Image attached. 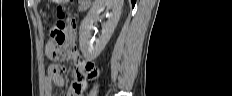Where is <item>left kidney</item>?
<instances>
[{"label": "left kidney", "mask_w": 232, "mask_h": 96, "mask_svg": "<svg viewBox=\"0 0 232 96\" xmlns=\"http://www.w3.org/2000/svg\"><path fill=\"white\" fill-rule=\"evenodd\" d=\"M122 7L123 0H95L93 3L79 30L80 49L87 60L96 59L105 48L118 24ZM104 9L110 10L108 21L103 24L101 36L93 45L90 42L93 23L99 20V14Z\"/></svg>", "instance_id": "left-kidney-1"}]
</instances>
